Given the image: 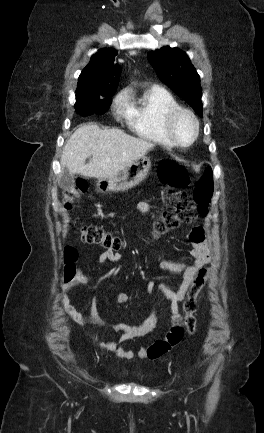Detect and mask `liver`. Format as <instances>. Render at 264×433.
Instances as JSON below:
<instances>
[{
	"mask_svg": "<svg viewBox=\"0 0 264 433\" xmlns=\"http://www.w3.org/2000/svg\"><path fill=\"white\" fill-rule=\"evenodd\" d=\"M153 148V143L120 129L103 130L97 124L89 123L78 127L66 141L61 165L71 175L106 179L119 175ZM90 156L91 161L85 164Z\"/></svg>",
	"mask_w": 264,
	"mask_h": 433,
	"instance_id": "obj_1",
	"label": "liver"
}]
</instances>
